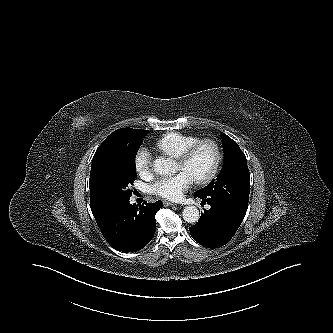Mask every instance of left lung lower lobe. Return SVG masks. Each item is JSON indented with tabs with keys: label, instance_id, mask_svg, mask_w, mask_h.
I'll return each instance as SVG.
<instances>
[{
	"label": "left lung lower lobe",
	"instance_id": "1",
	"mask_svg": "<svg viewBox=\"0 0 333 333\" xmlns=\"http://www.w3.org/2000/svg\"><path fill=\"white\" fill-rule=\"evenodd\" d=\"M194 197L203 200L211 208L201 213L198 222L189 228L192 238L208 248H219L225 245L236 233L242 223L247 206L225 200L216 195H199Z\"/></svg>",
	"mask_w": 333,
	"mask_h": 333
}]
</instances>
